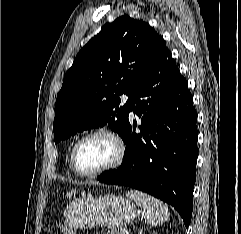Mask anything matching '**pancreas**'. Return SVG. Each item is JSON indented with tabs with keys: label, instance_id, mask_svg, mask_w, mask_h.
<instances>
[{
	"label": "pancreas",
	"instance_id": "1",
	"mask_svg": "<svg viewBox=\"0 0 241 234\" xmlns=\"http://www.w3.org/2000/svg\"><path fill=\"white\" fill-rule=\"evenodd\" d=\"M103 234H124V232L120 228V229H111L110 231L103 233Z\"/></svg>",
	"mask_w": 241,
	"mask_h": 234
}]
</instances>
